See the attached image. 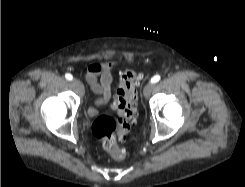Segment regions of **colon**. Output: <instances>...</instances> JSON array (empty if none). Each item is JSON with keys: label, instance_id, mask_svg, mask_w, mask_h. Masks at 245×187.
<instances>
[{"label": "colon", "instance_id": "colon-1", "mask_svg": "<svg viewBox=\"0 0 245 187\" xmlns=\"http://www.w3.org/2000/svg\"><path fill=\"white\" fill-rule=\"evenodd\" d=\"M140 74L132 69L123 70L112 104L117 116H98L92 125L93 134L102 142L104 148L116 159H124L126 151L118 146L117 140H123L135 121L136 90Z\"/></svg>", "mask_w": 245, "mask_h": 187}]
</instances>
